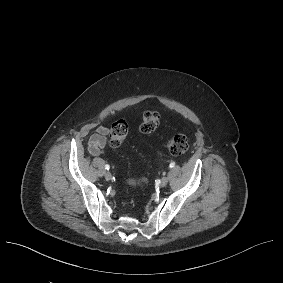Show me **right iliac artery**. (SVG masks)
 Here are the masks:
<instances>
[{"label": "right iliac artery", "mask_w": 283, "mask_h": 283, "mask_svg": "<svg viewBox=\"0 0 283 283\" xmlns=\"http://www.w3.org/2000/svg\"><path fill=\"white\" fill-rule=\"evenodd\" d=\"M105 169H106V170H109V169H110V166H109L108 164H106V165H105Z\"/></svg>", "instance_id": "1"}]
</instances>
